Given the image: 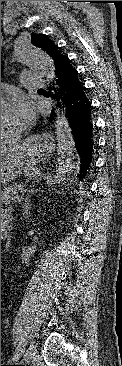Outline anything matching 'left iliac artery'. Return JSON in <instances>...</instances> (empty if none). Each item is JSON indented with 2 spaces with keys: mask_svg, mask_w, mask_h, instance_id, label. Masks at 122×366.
<instances>
[{
  "mask_svg": "<svg viewBox=\"0 0 122 366\" xmlns=\"http://www.w3.org/2000/svg\"><path fill=\"white\" fill-rule=\"evenodd\" d=\"M20 343H22V342H20ZM25 346V343H24V341H23V347Z\"/></svg>",
  "mask_w": 122,
  "mask_h": 366,
  "instance_id": "44dca946",
  "label": "left iliac artery"
}]
</instances>
